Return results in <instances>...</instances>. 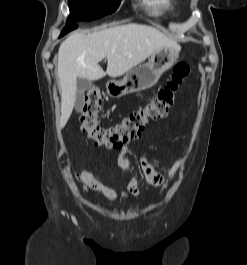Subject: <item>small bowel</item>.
Wrapping results in <instances>:
<instances>
[{
    "instance_id": "obj_1",
    "label": "small bowel",
    "mask_w": 247,
    "mask_h": 265,
    "mask_svg": "<svg viewBox=\"0 0 247 265\" xmlns=\"http://www.w3.org/2000/svg\"><path fill=\"white\" fill-rule=\"evenodd\" d=\"M126 152L127 148H122L119 152V159L121 167L124 171L130 170V165L126 159ZM141 167L143 170V174L145 179L156 186L160 187H166L169 183V180L173 179L180 167L181 161L178 159L172 168L169 171L168 177L169 180L166 179L162 174L157 172L150 161L148 160V157L146 153H143L141 158ZM76 178L78 182H80L83 186H85L87 189H90L92 191H95L99 194H101L107 201L114 202L118 199H122L127 201L128 196L124 191L116 192L115 190L105 186L103 183H101L99 180H97L90 172L86 170H81L76 173ZM127 190L134 196V197H140V191H139V182L137 178H132L128 185Z\"/></svg>"
}]
</instances>
